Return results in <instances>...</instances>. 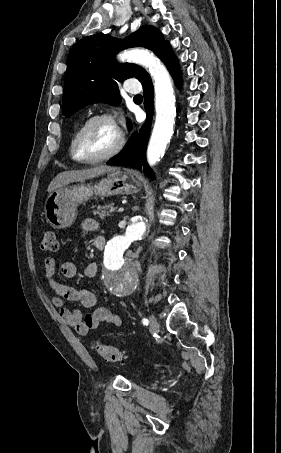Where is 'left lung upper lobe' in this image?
Returning <instances> with one entry per match:
<instances>
[{"label": "left lung upper lobe", "instance_id": "5c2ea615", "mask_svg": "<svg viewBox=\"0 0 281 453\" xmlns=\"http://www.w3.org/2000/svg\"><path fill=\"white\" fill-rule=\"evenodd\" d=\"M167 43L157 28L148 25L123 40L95 34L78 41L67 59L62 114L69 117L96 102L119 104L117 82L131 77L142 81L148 73L135 64L117 63L114 54L125 48L142 46L160 57ZM128 127L131 130L130 121Z\"/></svg>", "mask_w": 281, "mask_h": 453}]
</instances>
